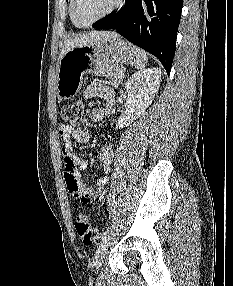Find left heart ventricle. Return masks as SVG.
<instances>
[{
    "label": "left heart ventricle",
    "mask_w": 233,
    "mask_h": 286,
    "mask_svg": "<svg viewBox=\"0 0 233 286\" xmlns=\"http://www.w3.org/2000/svg\"><path fill=\"white\" fill-rule=\"evenodd\" d=\"M116 0H78L77 16L82 22L91 21L109 10Z\"/></svg>",
    "instance_id": "b2bd125f"
}]
</instances>
